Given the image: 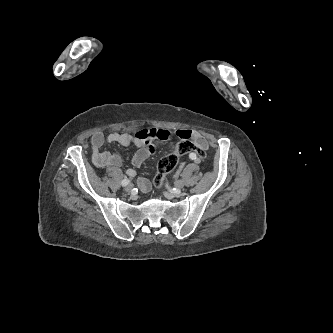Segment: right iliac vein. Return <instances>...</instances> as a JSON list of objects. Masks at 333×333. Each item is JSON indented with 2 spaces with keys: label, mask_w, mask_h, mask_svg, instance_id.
Here are the masks:
<instances>
[{
  "label": "right iliac vein",
  "mask_w": 333,
  "mask_h": 333,
  "mask_svg": "<svg viewBox=\"0 0 333 333\" xmlns=\"http://www.w3.org/2000/svg\"><path fill=\"white\" fill-rule=\"evenodd\" d=\"M132 189H133V185H132V184H128V185L125 187V190H126L127 192H130Z\"/></svg>",
  "instance_id": "right-iliac-vein-1"
}]
</instances>
